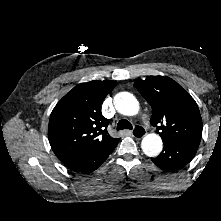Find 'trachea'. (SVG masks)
<instances>
[{
	"mask_svg": "<svg viewBox=\"0 0 221 221\" xmlns=\"http://www.w3.org/2000/svg\"><path fill=\"white\" fill-rule=\"evenodd\" d=\"M132 124L126 120V119H122L118 122L117 124V130H124V129H132Z\"/></svg>",
	"mask_w": 221,
	"mask_h": 221,
	"instance_id": "3493384b",
	"label": "trachea"
}]
</instances>
